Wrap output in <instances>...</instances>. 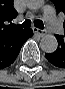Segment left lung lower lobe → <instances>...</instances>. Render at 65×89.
Wrapping results in <instances>:
<instances>
[{
	"mask_svg": "<svg viewBox=\"0 0 65 89\" xmlns=\"http://www.w3.org/2000/svg\"><path fill=\"white\" fill-rule=\"evenodd\" d=\"M58 41V48L53 53H46L47 60L53 65L65 68V35H55Z\"/></svg>",
	"mask_w": 65,
	"mask_h": 89,
	"instance_id": "left-lung-lower-lobe-1",
	"label": "left lung lower lobe"
}]
</instances>
